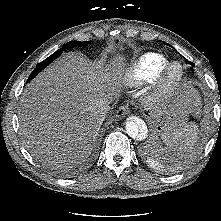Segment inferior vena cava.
Returning <instances> with one entry per match:
<instances>
[{
  "label": "inferior vena cava",
  "mask_w": 221,
  "mask_h": 221,
  "mask_svg": "<svg viewBox=\"0 0 221 221\" xmlns=\"http://www.w3.org/2000/svg\"><path fill=\"white\" fill-rule=\"evenodd\" d=\"M110 101H105L103 103L100 104V112L102 114V116L105 118V115L108 113V111H110L111 107H110ZM103 118V120H104Z\"/></svg>",
  "instance_id": "602c4592"
}]
</instances>
